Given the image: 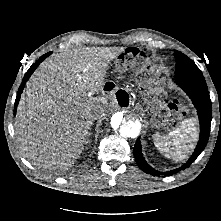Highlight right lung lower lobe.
Instances as JSON below:
<instances>
[{
  "mask_svg": "<svg viewBox=\"0 0 221 221\" xmlns=\"http://www.w3.org/2000/svg\"><path fill=\"white\" fill-rule=\"evenodd\" d=\"M52 52L46 53L43 56L40 57L39 60H37L29 69L28 71L25 73L24 78L22 80V84L19 87L18 93H17V97L15 100V107H14V114L16 113V107L18 105L19 99L21 97V93L23 91L24 85L25 83L28 81L30 75L34 72V70L38 67V65L46 58L48 57Z\"/></svg>",
  "mask_w": 221,
  "mask_h": 221,
  "instance_id": "1",
  "label": "right lung lower lobe"
}]
</instances>
